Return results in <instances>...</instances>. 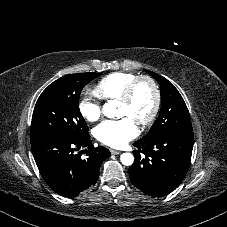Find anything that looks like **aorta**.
Returning <instances> with one entry per match:
<instances>
[{"mask_svg":"<svg viewBox=\"0 0 227 227\" xmlns=\"http://www.w3.org/2000/svg\"><path fill=\"white\" fill-rule=\"evenodd\" d=\"M117 102L115 100H109L103 105V114L108 118H114L117 116ZM121 163L125 166H130L134 162V156L131 153H123L120 157Z\"/></svg>","mask_w":227,"mask_h":227,"instance_id":"762f6f07","label":"aorta"}]
</instances>
